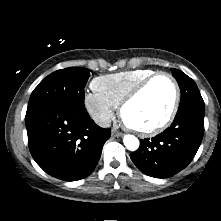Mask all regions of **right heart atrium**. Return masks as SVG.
<instances>
[{
  "label": "right heart atrium",
  "mask_w": 221,
  "mask_h": 221,
  "mask_svg": "<svg viewBox=\"0 0 221 221\" xmlns=\"http://www.w3.org/2000/svg\"><path fill=\"white\" fill-rule=\"evenodd\" d=\"M84 105L92 118L102 126L108 125L114 117L115 107L95 92L85 94Z\"/></svg>",
  "instance_id": "right-heart-atrium-1"
}]
</instances>
